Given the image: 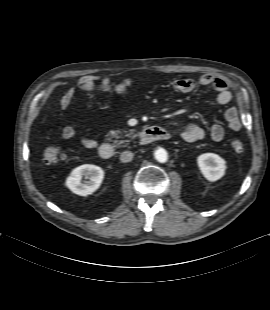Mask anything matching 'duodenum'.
<instances>
[{
  "instance_id": "1",
  "label": "duodenum",
  "mask_w": 270,
  "mask_h": 310,
  "mask_svg": "<svg viewBox=\"0 0 270 310\" xmlns=\"http://www.w3.org/2000/svg\"><path fill=\"white\" fill-rule=\"evenodd\" d=\"M170 138V132L162 127L152 126L145 128L140 133V142L148 144L158 140H166ZM99 156L102 159L108 160L115 154L114 147L111 143H102L98 149Z\"/></svg>"
}]
</instances>
